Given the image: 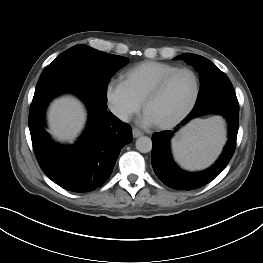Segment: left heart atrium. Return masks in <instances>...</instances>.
I'll return each mask as SVG.
<instances>
[{
    "label": "left heart atrium",
    "mask_w": 263,
    "mask_h": 263,
    "mask_svg": "<svg viewBox=\"0 0 263 263\" xmlns=\"http://www.w3.org/2000/svg\"><path fill=\"white\" fill-rule=\"evenodd\" d=\"M143 123L145 125H153V124H155L154 121L151 119V117L147 113H145L144 116H143Z\"/></svg>",
    "instance_id": "1"
}]
</instances>
